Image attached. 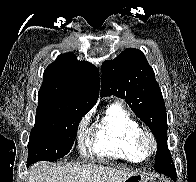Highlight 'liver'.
I'll return each mask as SVG.
<instances>
[{
  "label": "liver",
  "instance_id": "liver-1",
  "mask_svg": "<svg viewBox=\"0 0 196 182\" xmlns=\"http://www.w3.org/2000/svg\"><path fill=\"white\" fill-rule=\"evenodd\" d=\"M135 171L107 166L61 165L41 162L29 173L28 182H125Z\"/></svg>",
  "mask_w": 196,
  "mask_h": 182
}]
</instances>
